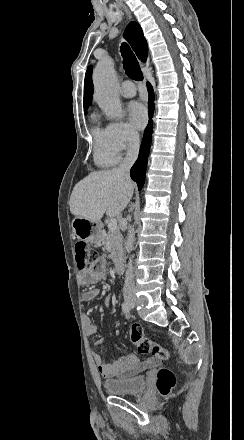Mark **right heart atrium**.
<instances>
[{"label":"right heart atrium","instance_id":"obj_1","mask_svg":"<svg viewBox=\"0 0 244 440\" xmlns=\"http://www.w3.org/2000/svg\"><path fill=\"white\" fill-rule=\"evenodd\" d=\"M106 149L111 152H121L133 146L137 141L136 131L121 121L109 122L105 127Z\"/></svg>","mask_w":244,"mask_h":440}]
</instances>
